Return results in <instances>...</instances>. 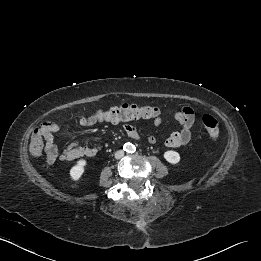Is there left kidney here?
Returning <instances> with one entry per match:
<instances>
[{
	"mask_svg": "<svg viewBox=\"0 0 261 261\" xmlns=\"http://www.w3.org/2000/svg\"><path fill=\"white\" fill-rule=\"evenodd\" d=\"M163 156L170 164H177L180 161L179 153L173 150L166 151Z\"/></svg>",
	"mask_w": 261,
	"mask_h": 261,
	"instance_id": "obj_1",
	"label": "left kidney"
}]
</instances>
